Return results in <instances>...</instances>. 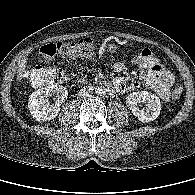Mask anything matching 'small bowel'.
<instances>
[{
	"mask_svg": "<svg viewBox=\"0 0 195 195\" xmlns=\"http://www.w3.org/2000/svg\"><path fill=\"white\" fill-rule=\"evenodd\" d=\"M156 69H149L142 65H138L140 70V82H127L123 76L117 77L112 81L110 92L113 96L132 91L140 84H144L153 90L161 100L168 101L170 99V87L173 85L174 76L167 67L155 57ZM112 70L116 73H122L126 70V66L122 62H116L112 66ZM81 77L79 80H83Z\"/></svg>",
	"mask_w": 195,
	"mask_h": 195,
	"instance_id": "c3829d8e",
	"label": "small bowel"
}]
</instances>
